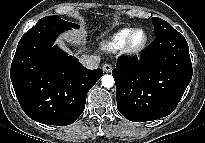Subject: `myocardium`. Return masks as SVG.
<instances>
[{
	"mask_svg": "<svg viewBox=\"0 0 205 143\" xmlns=\"http://www.w3.org/2000/svg\"><path fill=\"white\" fill-rule=\"evenodd\" d=\"M142 32L144 34V39L139 44L134 43V37L137 33ZM149 35L147 31L143 28L133 29L127 38L126 44L124 46L125 52L129 55H139L148 45Z\"/></svg>",
	"mask_w": 205,
	"mask_h": 143,
	"instance_id": "myocardium-1",
	"label": "myocardium"
}]
</instances>
